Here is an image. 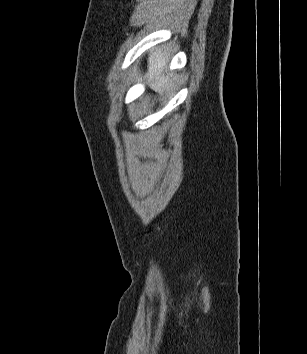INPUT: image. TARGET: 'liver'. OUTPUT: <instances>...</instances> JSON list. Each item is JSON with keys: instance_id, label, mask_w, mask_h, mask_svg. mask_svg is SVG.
<instances>
[{"instance_id": "obj_1", "label": "liver", "mask_w": 307, "mask_h": 354, "mask_svg": "<svg viewBox=\"0 0 307 354\" xmlns=\"http://www.w3.org/2000/svg\"><path fill=\"white\" fill-rule=\"evenodd\" d=\"M169 61V56L166 51L153 49L148 58V73L146 78L149 80L150 87L156 92L163 95L167 91L170 95V87L174 74H164V70Z\"/></svg>"}]
</instances>
